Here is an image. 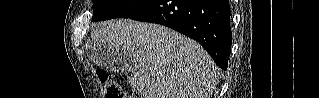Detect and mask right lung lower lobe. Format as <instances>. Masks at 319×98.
<instances>
[{
  "mask_svg": "<svg viewBox=\"0 0 319 98\" xmlns=\"http://www.w3.org/2000/svg\"><path fill=\"white\" fill-rule=\"evenodd\" d=\"M119 18L158 23L198 41L226 70L231 51L228 0H146Z\"/></svg>",
  "mask_w": 319,
  "mask_h": 98,
  "instance_id": "right-lung-lower-lobe-1",
  "label": "right lung lower lobe"
}]
</instances>
